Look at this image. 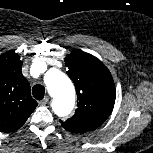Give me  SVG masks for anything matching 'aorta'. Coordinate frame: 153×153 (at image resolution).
Wrapping results in <instances>:
<instances>
[{"label": "aorta", "mask_w": 153, "mask_h": 153, "mask_svg": "<svg viewBox=\"0 0 153 153\" xmlns=\"http://www.w3.org/2000/svg\"><path fill=\"white\" fill-rule=\"evenodd\" d=\"M44 81L53 96L54 112L59 116L68 115L75 103V90L70 79L60 70L51 69L45 74Z\"/></svg>", "instance_id": "aorta-1"}]
</instances>
